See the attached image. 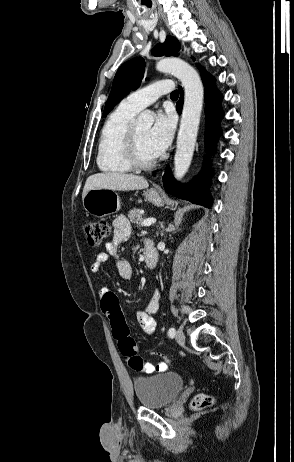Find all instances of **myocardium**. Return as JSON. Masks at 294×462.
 <instances>
[{
  "mask_svg": "<svg viewBox=\"0 0 294 462\" xmlns=\"http://www.w3.org/2000/svg\"><path fill=\"white\" fill-rule=\"evenodd\" d=\"M124 157H125L127 164L131 167V169H137V170L149 169L153 165H155V163L158 160V156L150 160H143L140 157L133 125H130L128 127L126 135H125Z\"/></svg>",
  "mask_w": 294,
  "mask_h": 462,
  "instance_id": "f54148a6",
  "label": "myocardium"
}]
</instances>
